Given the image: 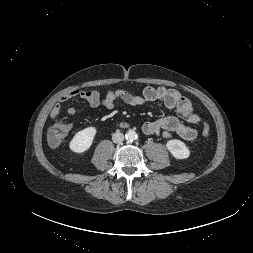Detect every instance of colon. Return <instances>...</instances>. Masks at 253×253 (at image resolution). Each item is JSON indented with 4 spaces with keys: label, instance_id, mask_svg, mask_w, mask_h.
Instances as JSON below:
<instances>
[{
    "label": "colon",
    "instance_id": "colon-1",
    "mask_svg": "<svg viewBox=\"0 0 253 253\" xmlns=\"http://www.w3.org/2000/svg\"><path fill=\"white\" fill-rule=\"evenodd\" d=\"M71 129L70 124L59 122L52 125L47 133V140L51 146H58L63 139L68 135ZM202 135L207 138L210 135V126L207 122L202 125Z\"/></svg>",
    "mask_w": 253,
    "mask_h": 253
}]
</instances>
